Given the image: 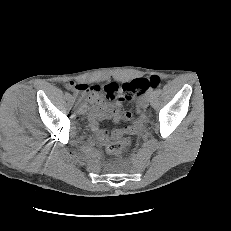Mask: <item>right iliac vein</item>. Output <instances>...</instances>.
<instances>
[{
    "mask_svg": "<svg viewBox=\"0 0 231 231\" xmlns=\"http://www.w3.org/2000/svg\"><path fill=\"white\" fill-rule=\"evenodd\" d=\"M86 109H87L86 104L81 99H79L77 102L78 113L84 114L86 112Z\"/></svg>",
    "mask_w": 231,
    "mask_h": 231,
    "instance_id": "obj_1",
    "label": "right iliac vein"
}]
</instances>
